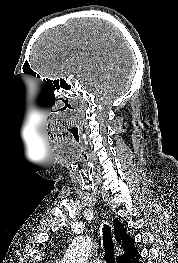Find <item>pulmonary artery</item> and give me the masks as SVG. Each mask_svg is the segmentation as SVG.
I'll use <instances>...</instances> for the list:
<instances>
[{
    "label": "pulmonary artery",
    "mask_w": 178,
    "mask_h": 263,
    "mask_svg": "<svg viewBox=\"0 0 178 263\" xmlns=\"http://www.w3.org/2000/svg\"><path fill=\"white\" fill-rule=\"evenodd\" d=\"M93 263H103V261L99 258H96L92 261Z\"/></svg>",
    "instance_id": "pulmonary-artery-1"
}]
</instances>
